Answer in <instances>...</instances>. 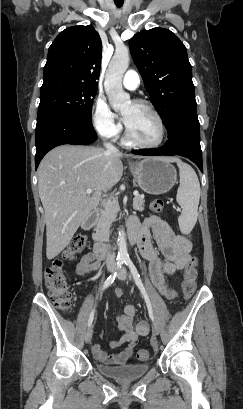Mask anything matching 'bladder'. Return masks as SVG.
Returning a JSON list of instances; mask_svg holds the SVG:
<instances>
[{
  "mask_svg": "<svg viewBox=\"0 0 243 409\" xmlns=\"http://www.w3.org/2000/svg\"><path fill=\"white\" fill-rule=\"evenodd\" d=\"M97 372L117 381H130L143 377L149 370L148 364L128 363L118 366H107L97 362Z\"/></svg>",
  "mask_w": 243,
  "mask_h": 409,
  "instance_id": "31cf9c89",
  "label": "bladder"
}]
</instances>
